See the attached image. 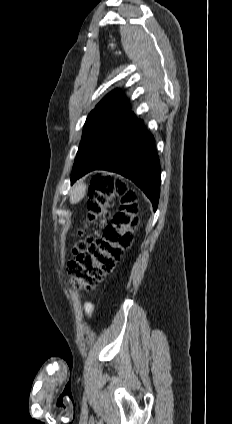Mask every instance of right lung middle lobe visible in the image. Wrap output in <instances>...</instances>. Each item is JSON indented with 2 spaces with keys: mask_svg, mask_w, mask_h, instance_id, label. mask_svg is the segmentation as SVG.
Segmentation results:
<instances>
[{
  "mask_svg": "<svg viewBox=\"0 0 232 424\" xmlns=\"http://www.w3.org/2000/svg\"><path fill=\"white\" fill-rule=\"evenodd\" d=\"M134 114L128 108L94 109L87 117L82 140L73 165L72 177L77 176L86 163L115 130L129 123Z\"/></svg>",
  "mask_w": 232,
  "mask_h": 424,
  "instance_id": "right-lung-middle-lobe-1",
  "label": "right lung middle lobe"
}]
</instances>
